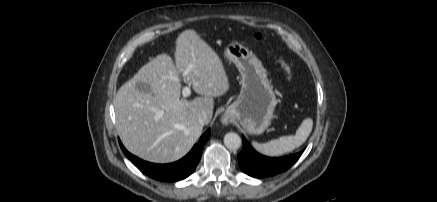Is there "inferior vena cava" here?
I'll list each match as a JSON object with an SVG mask.
<instances>
[{
    "mask_svg": "<svg viewBox=\"0 0 437 202\" xmlns=\"http://www.w3.org/2000/svg\"><path fill=\"white\" fill-rule=\"evenodd\" d=\"M198 122H199V124L200 125H205V124H208L209 123V118H208V116H207V114L206 113H201L199 116H198Z\"/></svg>",
    "mask_w": 437,
    "mask_h": 202,
    "instance_id": "602c4592",
    "label": "inferior vena cava"
}]
</instances>
